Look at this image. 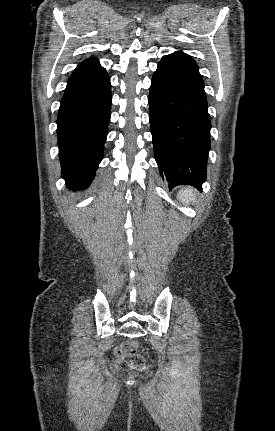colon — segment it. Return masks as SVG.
<instances>
[{"label":"colon","mask_w":275,"mask_h":431,"mask_svg":"<svg viewBox=\"0 0 275 431\" xmlns=\"http://www.w3.org/2000/svg\"><path fill=\"white\" fill-rule=\"evenodd\" d=\"M121 355L125 358L129 368L138 370L145 364L144 357L137 352L136 342H126L120 347Z\"/></svg>","instance_id":"colon-1"}]
</instances>
